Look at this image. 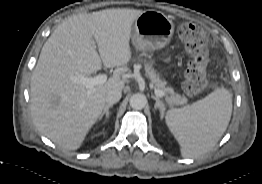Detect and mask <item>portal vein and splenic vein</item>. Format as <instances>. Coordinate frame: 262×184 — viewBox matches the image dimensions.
<instances>
[{
	"instance_id": "18ae733b",
	"label": "portal vein and splenic vein",
	"mask_w": 262,
	"mask_h": 184,
	"mask_svg": "<svg viewBox=\"0 0 262 184\" xmlns=\"http://www.w3.org/2000/svg\"><path fill=\"white\" fill-rule=\"evenodd\" d=\"M73 80L75 82L82 83L83 85L86 86L88 93H91L93 90L94 86L98 84H103L107 81V75L106 74H98L95 77H85V76H79V77H74ZM155 94L158 97H164L165 93L159 89H155Z\"/></svg>"
}]
</instances>
